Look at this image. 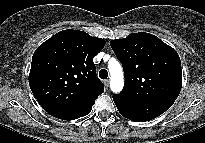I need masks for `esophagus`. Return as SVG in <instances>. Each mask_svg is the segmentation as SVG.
<instances>
[{"label": "esophagus", "instance_id": "obj_1", "mask_svg": "<svg viewBox=\"0 0 205 143\" xmlns=\"http://www.w3.org/2000/svg\"><path fill=\"white\" fill-rule=\"evenodd\" d=\"M104 85H105L106 87L109 86V80H108V79L104 80Z\"/></svg>", "mask_w": 205, "mask_h": 143}]
</instances>
